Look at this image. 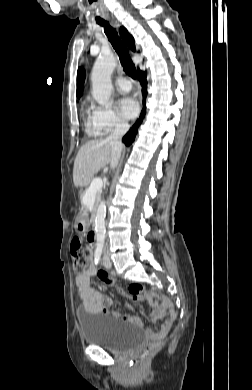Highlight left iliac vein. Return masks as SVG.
Here are the masks:
<instances>
[{
  "label": "left iliac vein",
  "mask_w": 252,
  "mask_h": 390,
  "mask_svg": "<svg viewBox=\"0 0 252 390\" xmlns=\"http://www.w3.org/2000/svg\"><path fill=\"white\" fill-rule=\"evenodd\" d=\"M103 265H104L106 268H108V269L111 268L112 263H111L110 258H109L108 255H105V256L103 257Z\"/></svg>",
  "instance_id": "1"
}]
</instances>
